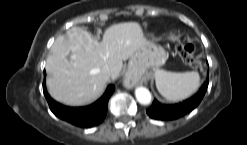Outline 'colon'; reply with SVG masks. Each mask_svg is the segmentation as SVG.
I'll use <instances>...</instances> for the list:
<instances>
[{
	"mask_svg": "<svg viewBox=\"0 0 247 145\" xmlns=\"http://www.w3.org/2000/svg\"><path fill=\"white\" fill-rule=\"evenodd\" d=\"M176 50L182 60L189 66L196 69H203L204 64L195 57L194 47L190 44L179 43L176 46Z\"/></svg>",
	"mask_w": 247,
	"mask_h": 145,
	"instance_id": "obj_1",
	"label": "colon"
}]
</instances>
